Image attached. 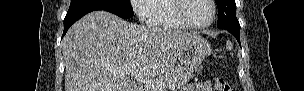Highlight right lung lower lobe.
<instances>
[{"label": "right lung lower lobe", "mask_w": 304, "mask_h": 91, "mask_svg": "<svg viewBox=\"0 0 304 91\" xmlns=\"http://www.w3.org/2000/svg\"><path fill=\"white\" fill-rule=\"evenodd\" d=\"M97 10H104L113 13L110 7L97 4L94 2L84 1V2H78L73 3L70 5V8L66 14V17L64 19V32L63 36L68 31L69 27L75 23L77 20H79L81 17H83L85 14L97 11ZM62 36V37H63Z\"/></svg>", "instance_id": "right-lung-lower-lobe-1"}]
</instances>
